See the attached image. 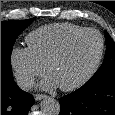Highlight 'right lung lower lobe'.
<instances>
[{
  "mask_svg": "<svg viewBox=\"0 0 115 115\" xmlns=\"http://www.w3.org/2000/svg\"><path fill=\"white\" fill-rule=\"evenodd\" d=\"M34 98L21 90L13 76H1V115H27Z\"/></svg>",
  "mask_w": 115,
  "mask_h": 115,
  "instance_id": "98d812e1",
  "label": "right lung lower lobe"
}]
</instances>
